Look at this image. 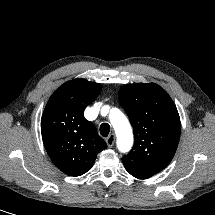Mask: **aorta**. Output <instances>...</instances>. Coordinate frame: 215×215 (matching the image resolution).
<instances>
[{
	"instance_id": "1",
	"label": "aorta",
	"mask_w": 215,
	"mask_h": 215,
	"mask_svg": "<svg viewBox=\"0 0 215 215\" xmlns=\"http://www.w3.org/2000/svg\"><path fill=\"white\" fill-rule=\"evenodd\" d=\"M117 136V147L121 152H128L133 144L131 125L126 116L117 108H112L109 115Z\"/></svg>"
}]
</instances>
